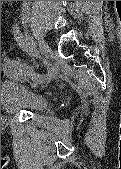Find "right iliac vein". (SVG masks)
<instances>
[{"instance_id": "63e3f726", "label": "right iliac vein", "mask_w": 121, "mask_h": 169, "mask_svg": "<svg viewBox=\"0 0 121 169\" xmlns=\"http://www.w3.org/2000/svg\"><path fill=\"white\" fill-rule=\"evenodd\" d=\"M24 24L26 27L29 26L28 20H25ZM38 42H39V49H40L41 54L43 55L45 60L48 59L51 54V49L49 48L47 43L42 38H38ZM52 77H53V73L50 71L47 81H49Z\"/></svg>"}]
</instances>
